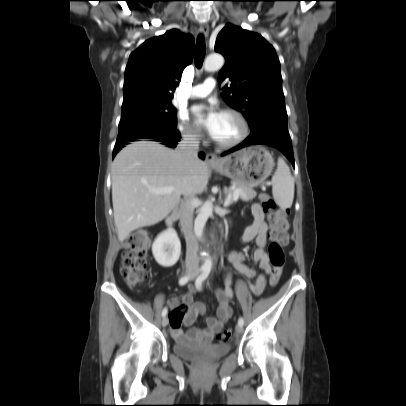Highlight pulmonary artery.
<instances>
[{"instance_id":"obj_1","label":"pulmonary artery","mask_w":406,"mask_h":406,"mask_svg":"<svg viewBox=\"0 0 406 406\" xmlns=\"http://www.w3.org/2000/svg\"><path fill=\"white\" fill-rule=\"evenodd\" d=\"M216 82L213 78H207L202 84L194 86L190 93L189 97L192 99L195 98H204L210 94V92L215 88Z\"/></svg>"}]
</instances>
